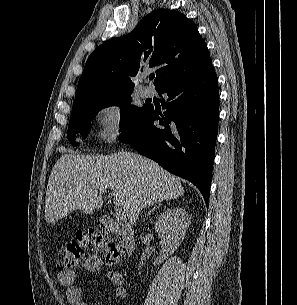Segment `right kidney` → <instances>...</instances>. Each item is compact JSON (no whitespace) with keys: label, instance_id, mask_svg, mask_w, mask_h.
<instances>
[{"label":"right kidney","instance_id":"ca27d5eb","mask_svg":"<svg viewBox=\"0 0 297 305\" xmlns=\"http://www.w3.org/2000/svg\"><path fill=\"white\" fill-rule=\"evenodd\" d=\"M190 225V218L182 208H172L163 212L155 222V231L161 238V252L157 264L163 262L181 244ZM142 264L139 265V268Z\"/></svg>","mask_w":297,"mask_h":305}]
</instances>
